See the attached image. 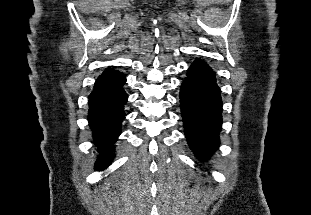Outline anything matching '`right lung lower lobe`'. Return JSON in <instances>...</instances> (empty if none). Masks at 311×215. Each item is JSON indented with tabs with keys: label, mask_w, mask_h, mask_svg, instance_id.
<instances>
[{
	"label": "right lung lower lobe",
	"mask_w": 311,
	"mask_h": 215,
	"mask_svg": "<svg viewBox=\"0 0 311 215\" xmlns=\"http://www.w3.org/2000/svg\"><path fill=\"white\" fill-rule=\"evenodd\" d=\"M125 75L113 68H107L96 80L89 95V126L99 150L110 149L101 153L96 169L106 168L113 159L112 148L121 133V123L125 118L124 105L127 94L123 89Z\"/></svg>",
	"instance_id": "1"
}]
</instances>
